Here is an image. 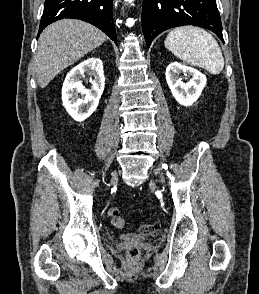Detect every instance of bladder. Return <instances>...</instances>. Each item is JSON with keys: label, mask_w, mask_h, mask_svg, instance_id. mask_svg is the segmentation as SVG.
Returning a JSON list of instances; mask_svg holds the SVG:
<instances>
[{"label": "bladder", "mask_w": 259, "mask_h": 294, "mask_svg": "<svg viewBox=\"0 0 259 294\" xmlns=\"http://www.w3.org/2000/svg\"><path fill=\"white\" fill-rule=\"evenodd\" d=\"M119 239H122V240H144L145 237L144 236H139V237H136L134 235H131V234H120L119 235Z\"/></svg>", "instance_id": "obj_1"}]
</instances>
